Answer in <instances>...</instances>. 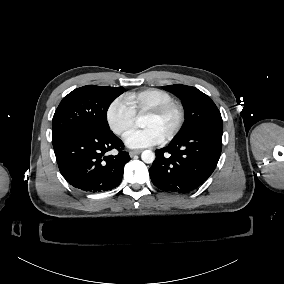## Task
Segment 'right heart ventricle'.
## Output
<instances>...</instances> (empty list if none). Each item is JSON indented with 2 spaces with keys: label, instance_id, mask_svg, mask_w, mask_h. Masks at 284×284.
Segmentation results:
<instances>
[{
  "label": "right heart ventricle",
  "instance_id": "obj_1",
  "mask_svg": "<svg viewBox=\"0 0 284 284\" xmlns=\"http://www.w3.org/2000/svg\"><path fill=\"white\" fill-rule=\"evenodd\" d=\"M126 100L135 112L142 113L174 99L163 89L148 87L128 94Z\"/></svg>",
  "mask_w": 284,
  "mask_h": 284
}]
</instances>
